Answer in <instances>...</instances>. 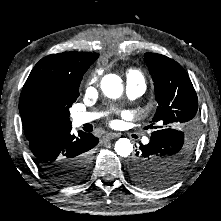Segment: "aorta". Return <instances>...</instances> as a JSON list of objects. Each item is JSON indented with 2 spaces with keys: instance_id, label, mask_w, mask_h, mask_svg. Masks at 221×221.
Segmentation results:
<instances>
[{
  "instance_id": "aorta-1",
  "label": "aorta",
  "mask_w": 221,
  "mask_h": 221,
  "mask_svg": "<svg viewBox=\"0 0 221 221\" xmlns=\"http://www.w3.org/2000/svg\"><path fill=\"white\" fill-rule=\"evenodd\" d=\"M101 89L108 98H119L123 92L122 80L116 74H107L101 80ZM114 148L119 156L127 157L133 151V144L127 138H120Z\"/></svg>"
}]
</instances>
